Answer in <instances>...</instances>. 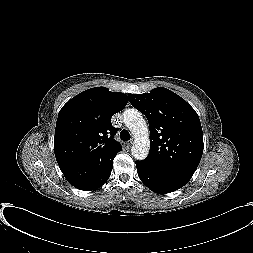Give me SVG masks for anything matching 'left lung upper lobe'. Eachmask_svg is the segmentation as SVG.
<instances>
[{"instance_id":"obj_1","label":"left lung upper lobe","mask_w":253,"mask_h":253,"mask_svg":"<svg viewBox=\"0 0 253 253\" xmlns=\"http://www.w3.org/2000/svg\"><path fill=\"white\" fill-rule=\"evenodd\" d=\"M129 101L149 122L150 152L143 160L149 166L188 183L203 153V135L195 110L166 88L146 94H130Z\"/></svg>"}]
</instances>
